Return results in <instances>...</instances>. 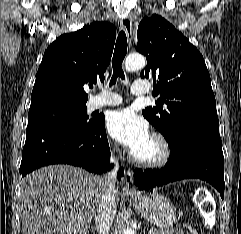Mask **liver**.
<instances>
[{"label": "liver", "mask_w": 241, "mask_h": 234, "mask_svg": "<svg viewBox=\"0 0 241 234\" xmlns=\"http://www.w3.org/2000/svg\"><path fill=\"white\" fill-rule=\"evenodd\" d=\"M100 179L69 165L27 175L20 193L22 234H87L102 200Z\"/></svg>", "instance_id": "1"}]
</instances>
